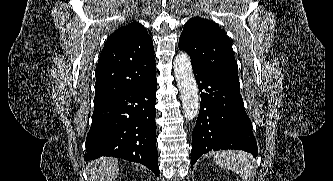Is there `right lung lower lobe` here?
<instances>
[{
    "instance_id": "1",
    "label": "right lung lower lobe",
    "mask_w": 333,
    "mask_h": 181,
    "mask_svg": "<svg viewBox=\"0 0 333 181\" xmlns=\"http://www.w3.org/2000/svg\"><path fill=\"white\" fill-rule=\"evenodd\" d=\"M157 80L134 87L94 107L85 161L100 156L137 162L157 176L155 96Z\"/></svg>"
}]
</instances>
